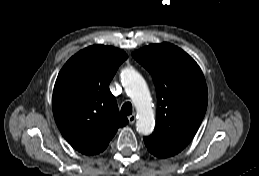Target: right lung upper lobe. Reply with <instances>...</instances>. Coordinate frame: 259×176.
<instances>
[{
    "label": "right lung upper lobe",
    "instance_id": "1",
    "mask_svg": "<svg viewBox=\"0 0 259 176\" xmlns=\"http://www.w3.org/2000/svg\"><path fill=\"white\" fill-rule=\"evenodd\" d=\"M127 54L103 45L89 46L63 66L53 91L56 124L77 151L95 155L106 149L128 119L119 113L109 83Z\"/></svg>",
    "mask_w": 259,
    "mask_h": 176
}]
</instances>
